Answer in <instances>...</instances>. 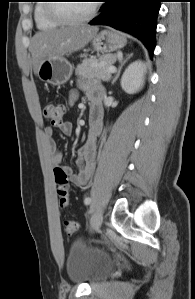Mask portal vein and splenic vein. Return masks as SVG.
Instances as JSON below:
<instances>
[{
  "instance_id": "18ae733b",
  "label": "portal vein and splenic vein",
  "mask_w": 195,
  "mask_h": 299,
  "mask_svg": "<svg viewBox=\"0 0 195 299\" xmlns=\"http://www.w3.org/2000/svg\"><path fill=\"white\" fill-rule=\"evenodd\" d=\"M115 71H116V68L114 66H110L109 68H107L108 73H114Z\"/></svg>"
}]
</instances>
